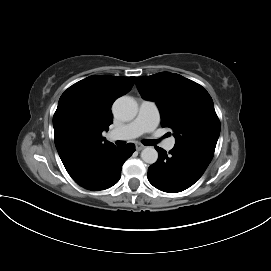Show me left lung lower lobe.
<instances>
[{"label":"left lung lower lobe","mask_w":271,"mask_h":271,"mask_svg":"<svg viewBox=\"0 0 271 271\" xmlns=\"http://www.w3.org/2000/svg\"><path fill=\"white\" fill-rule=\"evenodd\" d=\"M158 160L148 169V180L157 189L176 193L192 186L204 173L213 154L203 150L174 146L169 154L159 147Z\"/></svg>","instance_id":"obj_1"}]
</instances>
